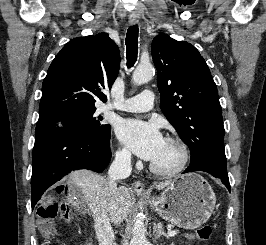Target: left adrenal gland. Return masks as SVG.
<instances>
[{
  "mask_svg": "<svg viewBox=\"0 0 266 245\" xmlns=\"http://www.w3.org/2000/svg\"><path fill=\"white\" fill-rule=\"evenodd\" d=\"M163 225L161 223H158L156 227H154V239H160V237H166L168 239L166 233H164V229H162Z\"/></svg>",
  "mask_w": 266,
  "mask_h": 245,
  "instance_id": "obj_1",
  "label": "left adrenal gland"
}]
</instances>
